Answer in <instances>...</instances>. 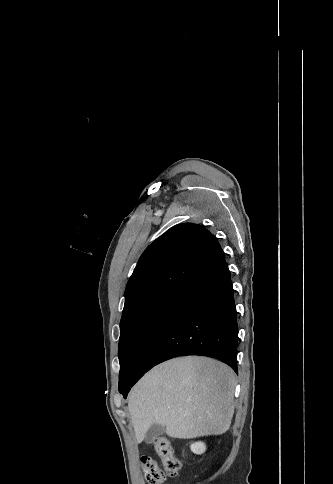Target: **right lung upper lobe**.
<instances>
[{
	"instance_id": "obj_1",
	"label": "right lung upper lobe",
	"mask_w": 333,
	"mask_h": 484,
	"mask_svg": "<svg viewBox=\"0 0 333 484\" xmlns=\"http://www.w3.org/2000/svg\"><path fill=\"white\" fill-rule=\"evenodd\" d=\"M224 257L217 239L202 225L178 224L141 255L125 291L123 314L164 292H173Z\"/></svg>"
}]
</instances>
